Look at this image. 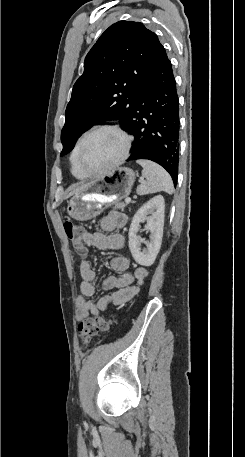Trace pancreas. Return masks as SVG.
Here are the masks:
<instances>
[{
  "label": "pancreas",
  "instance_id": "obj_1",
  "mask_svg": "<svg viewBox=\"0 0 245 457\" xmlns=\"http://www.w3.org/2000/svg\"><path fill=\"white\" fill-rule=\"evenodd\" d=\"M112 204H114L113 208H121V210H124L127 202H118V200H116V202H112Z\"/></svg>",
  "mask_w": 245,
  "mask_h": 457
}]
</instances>
